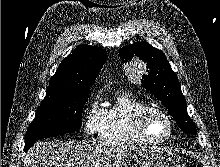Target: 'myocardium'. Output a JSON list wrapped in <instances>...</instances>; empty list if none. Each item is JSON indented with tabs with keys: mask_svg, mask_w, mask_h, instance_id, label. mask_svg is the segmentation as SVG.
Here are the masks:
<instances>
[{
	"mask_svg": "<svg viewBox=\"0 0 220 167\" xmlns=\"http://www.w3.org/2000/svg\"><path fill=\"white\" fill-rule=\"evenodd\" d=\"M153 112L162 115L169 125V133L165 137L160 139L150 138L145 131V120L149 116V114ZM133 125L138 137L144 143L149 145H160L167 142L173 136L175 131L174 122L169 113L160 106L156 105H147L143 107L141 110H139L135 116Z\"/></svg>",
	"mask_w": 220,
	"mask_h": 167,
	"instance_id": "obj_1",
	"label": "myocardium"
}]
</instances>
